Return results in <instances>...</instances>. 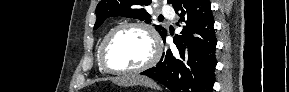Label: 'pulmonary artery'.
<instances>
[{"mask_svg": "<svg viewBox=\"0 0 289 92\" xmlns=\"http://www.w3.org/2000/svg\"><path fill=\"white\" fill-rule=\"evenodd\" d=\"M162 12H163V14H165L168 17L173 16V10L169 7H163Z\"/></svg>", "mask_w": 289, "mask_h": 92, "instance_id": "obj_1", "label": "pulmonary artery"}]
</instances>
